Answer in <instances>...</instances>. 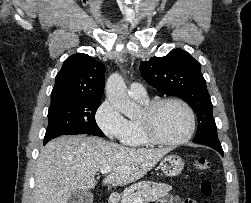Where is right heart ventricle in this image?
Masks as SVG:
<instances>
[{
    "label": "right heart ventricle",
    "mask_w": 251,
    "mask_h": 203,
    "mask_svg": "<svg viewBox=\"0 0 251 203\" xmlns=\"http://www.w3.org/2000/svg\"><path fill=\"white\" fill-rule=\"evenodd\" d=\"M138 101L144 105L149 103L148 99ZM121 141L128 147H144L150 144L143 135L139 119L127 120V130Z\"/></svg>",
    "instance_id": "1"
}]
</instances>
